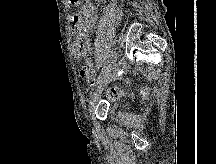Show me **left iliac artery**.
<instances>
[{
  "label": "left iliac artery",
  "instance_id": "obj_1",
  "mask_svg": "<svg viewBox=\"0 0 216 164\" xmlns=\"http://www.w3.org/2000/svg\"><path fill=\"white\" fill-rule=\"evenodd\" d=\"M111 68H112V67L109 65V66L107 67V70H108V69L110 70ZM107 70H106V69H103L102 72H99V76H98V78H97V84L101 81L102 77H104V74L107 73Z\"/></svg>",
  "mask_w": 216,
  "mask_h": 164
}]
</instances>
